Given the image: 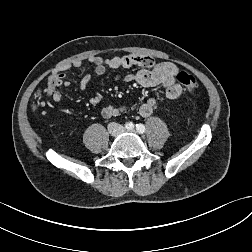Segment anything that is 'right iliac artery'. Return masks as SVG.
<instances>
[{"mask_svg": "<svg viewBox=\"0 0 252 252\" xmlns=\"http://www.w3.org/2000/svg\"><path fill=\"white\" fill-rule=\"evenodd\" d=\"M125 128L128 129V130H131L134 128V124H132L131 122L130 123H126L125 124Z\"/></svg>", "mask_w": 252, "mask_h": 252, "instance_id": "obj_1", "label": "right iliac artery"}]
</instances>
